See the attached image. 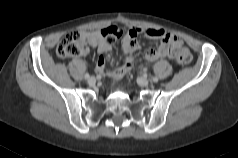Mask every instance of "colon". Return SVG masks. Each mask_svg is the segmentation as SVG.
<instances>
[{"label":"colon","mask_w":238,"mask_h":158,"mask_svg":"<svg viewBox=\"0 0 238 158\" xmlns=\"http://www.w3.org/2000/svg\"><path fill=\"white\" fill-rule=\"evenodd\" d=\"M118 35L119 30L114 27L101 30L102 38L108 43H112ZM85 52V41L82 35L77 31L66 34L58 44L56 50L59 58L80 56L85 54ZM173 56L180 66H186L191 62L190 53L182 48L175 49L173 51Z\"/></svg>","instance_id":"obj_1"}]
</instances>
